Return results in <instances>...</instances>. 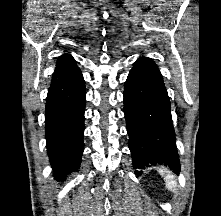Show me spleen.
I'll use <instances>...</instances> for the list:
<instances>
[{
	"label": "spleen",
	"instance_id": "3e777b00",
	"mask_svg": "<svg viewBox=\"0 0 221 216\" xmlns=\"http://www.w3.org/2000/svg\"><path fill=\"white\" fill-rule=\"evenodd\" d=\"M160 175L164 176L166 186L170 191H174L176 188V179L175 176L171 173H168L165 169H159Z\"/></svg>",
	"mask_w": 221,
	"mask_h": 216
}]
</instances>
